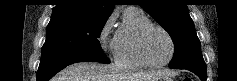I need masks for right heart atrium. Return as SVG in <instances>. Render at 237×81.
I'll use <instances>...</instances> for the list:
<instances>
[{"label": "right heart atrium", "instance_id": "1", "mask_svg": "<svg viewBox=\"0 0 237 81\" xmlns=\"http://www.w3.org/2000/svg\"><path fill=\"white\" fill-rule=\"evenodd\" d=\"M114 21V15H109L98 33V43L106 54H113L115 50V36L112 35Z\"/></svg>", "mask_w": 237, "mask_h": 81}]
</instances>
